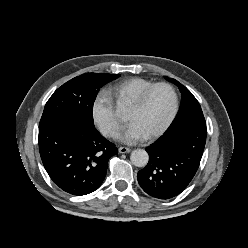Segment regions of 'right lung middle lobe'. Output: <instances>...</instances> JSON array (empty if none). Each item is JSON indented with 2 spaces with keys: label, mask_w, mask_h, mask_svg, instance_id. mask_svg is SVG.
I'll return each instance as SVG.
<instances>
[{
  "label": "right lung middle lobe",
  "mask_w": 248,
  "mask_h": 248,
  "mask_svg": "<svg viewBox=\"0 0 248 248\" xmlns=\"http://www.w3.org/2000/svg\"><path fill=\"white\" fill-rule=\"evenodd\" d=\"M120 75L85 73L59 87L47 101L39 131L60 121L77 120L94 125L93 103L98 91Z\"/></svg>",
  "instance_id": "dd1d6c3e"
}]
</instances>
